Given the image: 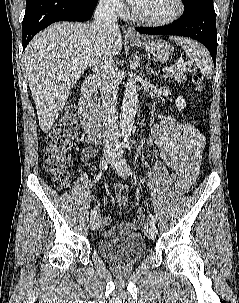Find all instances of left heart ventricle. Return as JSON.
Wrapping results in <instances>:
<instances>
[{"label": "left heart ventricle", "mask_w": 239, "mask_h": 303, "mask_svg": "<svg viewBox=\"0 0 239 303\" xmlns=\"http://www.w3.org/2000/svg\"><path fill=\"white\" fill-rule=\"evenodd\" d=\"M177 9L176 0H142L136 12L146 18L161 19L172 15Z\"/></svg>", "instance_id": "obj_1"}]
</instances>
